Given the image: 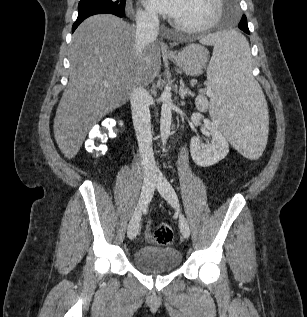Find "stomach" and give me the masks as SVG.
Here are the masks:
<instances>
[{
    "label": "stomach",
    "instance_id": "1",
    "mask_svg": "<svg viewBox=\"0 0 307 317\" xmlns=\"http://www.w3.org/2000/svg\"><path fill=\"white\" fill-rule=\"evenodd\" d=\"M185 74L201 75L209 59L208 50L199 44H190L181 51L168 56Z\"/></svg>",
    "mask_w": 307,
    "mask_h": 317
}]
</instances>
